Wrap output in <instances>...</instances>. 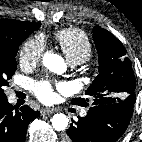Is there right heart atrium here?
I'll use <instances>...</instances> for the list:
<instances>
[{"label":"right heart atrium","mask_w":142,"mask_h":142,"mask_svg":"<svg viewBox=\"0 0 142 142\" xmlns=\"http://www.w3.org/2000/svg\"><path fill=\"white\" fill-rule=\"evenodd\" d=\"M45 50L43 36L36 35L28 38L19 51V59L22 66L32 67L39 63Z\"/></svg>","instance_id":"d8ad5b80"}]
</instances>
